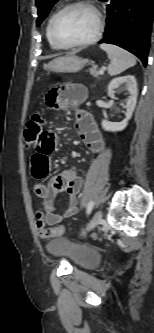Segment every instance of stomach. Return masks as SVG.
I'll return each instance as SVG.
<instances>
[{
  "instance_id": "1",
  "label": "stomach",
  "mask_w": 154,
  "mask_h": 333,
  "mask_svg": "<svg viewBox=\"0 0 154 333\" xmlns=\"http://www.w3.org/2000/svg\"><path fill=\"white\" fill-rule=\"evenodd\" d=\"M90 62L91 61L88 59H83L76 55H68L58 57L48 64H45L44 69L57 73H76Z\"/></svg>"
}]
</instances>
